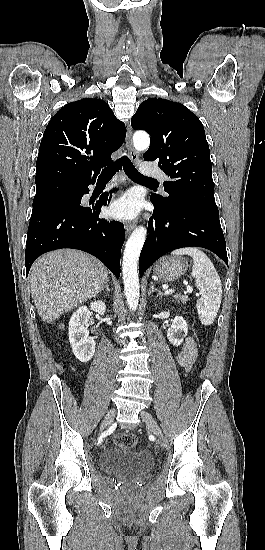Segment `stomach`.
<instances>
[{
  "mask_svg": "<svg viewBox=\"0 0 265 550\" xmlns=\"http://www.w3.org/2000/svg\"><path fill=\"white\" fill-rule=\"evenodd\" d=\"M187 262L181 257H164L154 267V274L164 282H170L185 273Z\"/></svg>",
  "mask_w": 265,
  "mask_h": 550,
  "instance_id": "1",
  "label": "stomach"
}]
</instances>
